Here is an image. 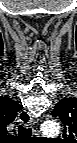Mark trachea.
Masks as SVG:
<instances>
[{"instance_id":"1","label":"trachea","mask_w":77,"mask_h":143,"mask_svg":"<svg viewBox=\"0 0 77 143\" xmlns=\"http://www.w3.org/2000/svg\"><path fill=\"white\" fill-rule=\"evenodd\" d=\"M19 136L30 137L32 135V130L30 128H25L22 125L18 128Z\"/></svg>"}]
</instances>
